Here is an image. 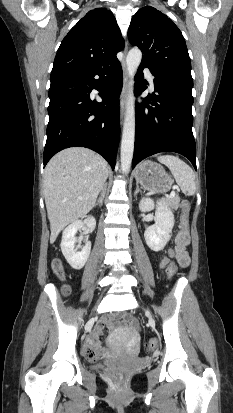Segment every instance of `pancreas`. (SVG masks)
<instances>
[{
  "label": "pancreas",
  "mask_w": 233,
  "mask_h": 413,
  "mask_svg": "<svg viewBox=\"0 0 233 413\" xmlns=\"http://www.w3.org/2000/svg\"><path fill=\"white\" fill-rule=\"evenodd\" d=\"M180 197L174 196L173 198L169 199L166 204L169 205L173 210H176L179 207Z\"/></svg>",
  "instance_id": "obj_1"
}]
</instances>
